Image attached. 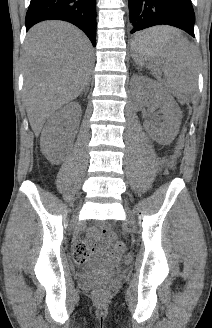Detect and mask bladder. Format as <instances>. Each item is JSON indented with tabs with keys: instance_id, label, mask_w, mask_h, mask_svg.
<instances>
[{
	"instance_id": "1",
	"label": "bladder",
	"mask_w": 212,
	"mask_h": 328,
	"mask_svg": "<svg viewBox=\"0 0 212 328\" xmlns=\"http://www.w3.org/2000/svg\"><path fill=\"white\" fill-rule=\"evenodd\" d=\"M95 275L94 272L86 271L80 274L81 278L83 279H90Z\"/></svg>"
}]
</instances>
